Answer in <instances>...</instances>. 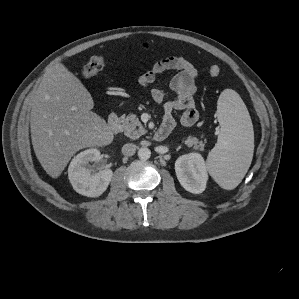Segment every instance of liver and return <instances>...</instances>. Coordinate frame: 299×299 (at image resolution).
Segmentation results:
<instances>
[{
  "instance_id": "6515ba94",
  "label": "liver",
  "mask_w": 299,
  "mask_h": 299,
  "mask_svg": "<svg viewBox=\"0 0 299 299\" xmlns=\"http://www.w3.org/2000/svg\"><path fill=\"white\" fill-rule=\"evenodd\" d=\"M93 107L91 94L63 64L44 74L33 98L30 128L36 157L52 178L61 175L77 151L113 141L112 128Z\"/></svg>"
}]
</instances>
